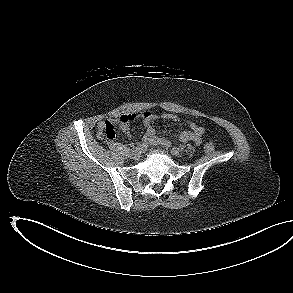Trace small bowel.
<instances>
[{
  "label": "small bowel",
  "mask_w": 293,
  "mask_h": 293,
  "mask_svg": "<svg viewBox=\"0 0 293 293\" xmlns=\"http://www.w3.org/2000/svg\"><path fill=\"white\" fill-rule=\"evenodd\" d=\"M121 118H123L126 121L125 125L123 126V131L128 137H130L131 135H130V131H129L127 123L129 121H133L135 119L141 118L145 126L143 141L147 144L161 145V146H169L170 142L166 138L159 137L156 135V130L153 127V123L160 118L173 121V122L179 121V117L176 114L165 113L162 115H156L148 111L142 112V113H132V114L124 115ZM104 126H105V122L101 121L98 123L97 125L98 134L101 133ZM187 126L189 127V130L182 131L178 135V140L181 142H194L197 145L202 144L205 129L202 126L192 121L187 122Z\"/></svg>",
  "instance_id": "small-bowel-1"
}]
</instances>
